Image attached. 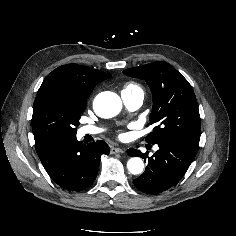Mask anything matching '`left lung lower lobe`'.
Listing matches in <instances>:
<instances>
[{"label": "left lung lower lobe", "mask_w": 236, "mask_h": 236, "mask_svg": "<svg viewBox=\"0 0 236 236\" xmlns=\"http://www.w3.org/2000/svg\"><path fill=\"white\" fill-rule=\"evenodd\" d=\"M156 144L159 150L151 157H147L140 150H128L130 156H139L145 158V161L147 158L148 166L144 173L133 182L140 191L153 195L176 185L198 152V146L180 141H164Z\"/></svg>", "instance_id": "0a47b994"}]
</instances>
